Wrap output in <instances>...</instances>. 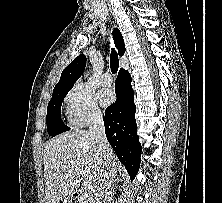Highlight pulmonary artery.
I'll use <instances>...</instances> for the list:
<instances>
[{
  "label": "pulmonary artery",
  "instance_id": "pulmonary-artery-1",
  "mask_svg": "<svg viewBox=\"0 0 222 203\" xmlns=\"http://www.w3.org/2000/svg\"><path fill=\"white\" fill-rule=\"evenodd\" d=\"M113 80H112V76L109 72H105L101 78V83L104 86H110L112 84Z\"/></svg>",
  "mask_w": 222,
  "mask_h": 203
}]
</instances>
